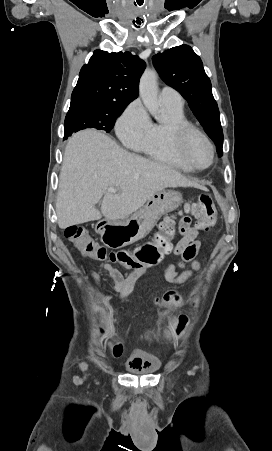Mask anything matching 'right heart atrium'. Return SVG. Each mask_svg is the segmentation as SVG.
<instances>
[{
    "label": "right heart atrium",
    "instance_id": "d8ad5b80",
    "mask_svg": "<svg viewBox=\"0 0 272 451\" xmlns=\"http://www.w3.org/2000/svg\"><path fill=\"white\" fill-rule=\"evenodd\" d=\"M150 118L139 101L132 102L123 112L116 124L122 140L130 145L141 143L150 130Z\"/></svg>",
    "mask_w": 272,
    "mask_h": 451
}]
</instances>
